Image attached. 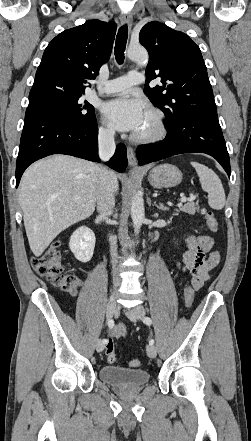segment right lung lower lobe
Instances as JSON below:
<instances>
[{"label":"right lung lower lobe","mask_w":251,"mask_h":441,"mask_svg":"<svg viewBox=\"0 0 251 441\" xmlns=\"http://www.w3.org/2000/svg\"><path fill=\"white\" fill-rule=\"evenodd\" d=\"M52 154H66L99 162L98 126L75 124L49 112L27 108L16 162V187L25 169L38 159ZM107 164L118 172L127 165L126 147L119 144Z\"/></svg>","instance_id":"98d812e1"}]
</instances>
